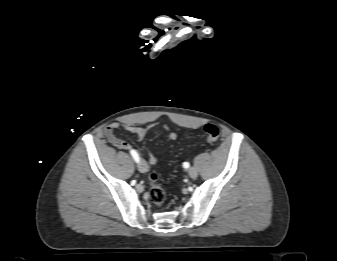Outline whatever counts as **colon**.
<instances>
[{"mask_svg": "<svg viewBox=\"0 0 337 261\" xmlns=\"http://www.w3.org/2000/svg\"><path fill=\"white\" fill-rule=\"evenodd\" d=\"M219 133V128L214 124H206L204 126V139L209 143L216 141L219 137ZM148 182L150 184V199L155 205H162L165 201L166 194L163 188L158 184V177L155 172L149 173Z\"/></svg>", "mask_w": 337, "mask_h": 261, "instance_id": "obj_1", "label": "colon"}]
</instances>
